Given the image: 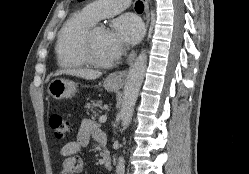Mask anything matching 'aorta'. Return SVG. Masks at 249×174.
Returning a JSON list of instances; mask_svg holds the SVG:
<instances>
[{"mask_svg": "<svg viewBox=\"0 0 249 174\" xmlns=\"http://www.w3.org/2000/svg\"><path fill=\"white\" fill-rule=\"evenodd\" d=\"M147 68V54L142 51L136 58L129 70L127 81L123 90V100L120 111V118L123 129H126L132 120L134 107L139 95L141 85ZM124 158L120 157L117 165V174H124Z\"/></svg>", "mask_w": 249, "mask_h": 174, "instance_id": "1", "label": "aorta"}]
</instances>
